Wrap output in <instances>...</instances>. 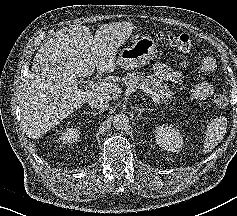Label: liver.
Returning <instances> with one entry per match:
<instances>
[{"mask_svg": "<svg viewBox=\"0 0 237 216\" xmlns=\"http://www.w3.org/2000/svg\"><path fill=\"white\" fill-rule=\"evenodd\" d=\"M114 46L95 43L90 28L71 26L45 42L38 51L22 88L24 124L31 135L47 133L86 104L94 92L106 87L83 89L78 78L95 70L108 75L116 69Z\"/></svg>", "mask_w": 237, "mask_h": 216, "instance_id": "liver-1", "label": "liver"}]
</instances>
